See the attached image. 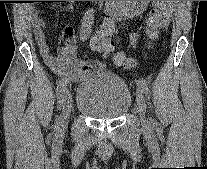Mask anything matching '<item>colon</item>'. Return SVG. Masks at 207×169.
I'll list each match as a JSON object with an SVG mask.
<instances>
[{
	"instance_id": "colon-1",
	"label": "colon",
	"mask_w": 207,
	"mask_h": 169,
	"mask_svg": "<svg viewBox=\"0 0 207 169\" xmlns=\"http://www.w3.org/2000/svg\"><path fill=\"white\" fill-rule=\"evenodd\" d=\"M172 5L173 1H154V6L146 19V33L149 39H156L159 32L166 28L170 21ZM90 46L94 53L102 56L108 55L114 49L113 33L100 28L91 39ZM114 61L118 65H133V61L127 58L123 52H118L114 56Z\"/></svg>"
}]
</instances>
